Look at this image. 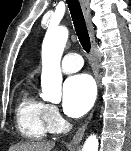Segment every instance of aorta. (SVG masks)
<instances>
[{"label":"aorta","instance_id":"762f6f07","mask_svg":"<svg viewBox=\"0 0 131 151\" xmlns=\"http://www.w3.org/2000/svg\"><path fill=\"white\" fill-rule=\"evenodd\" d=\"M68 39L66 27L49 28L42 49V75L41 85L43 98L52 102L61 96L62 74L60 61ZM99 141L96 135H90L82 151H98Z\"/></svg>","mask_w":131,"mask_h":151}]
</instances>
